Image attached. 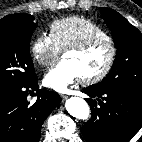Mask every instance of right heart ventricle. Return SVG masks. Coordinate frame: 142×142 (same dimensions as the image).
<instances>
[{
  "label": "right heart ventricle",
  "mask_w": 142,
  "mask_h": 142,
  "mask_svg": "<svg viewBox=\"0 0 142 142\" xmlns=\"http://www.w3.org/2000/svg\"><path fill=\"white\" fill-rule=\"evenodd\" d=\"M49 31V35L60 51L92 36L109 37L100 25L82 16L55 20L51 23Z\"/></svg>",
  "instance_id": "1"
}]
</instances>
